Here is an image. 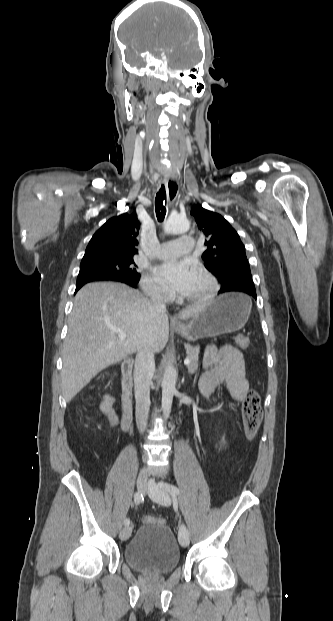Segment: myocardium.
I'll list each match as a JSON object with an SVG mask.
<instances>
[{
    "label": "myocardium",
    "instance_id": "myocardium-1",
    "mask_svg": "<svg viewBox=\"0 0 333 621\" xmlns=\"http://www.w3.org/2000/svg\"><path fill=\"white\" fill-rule=\"evenodd\" d=\"M195 271L198 272L200 275H202L207 280L209 284L208 291L201 295H197V296H191V297L181 296L179 297V300L184 301V302H189V303L208 302L212 300L219 291L218 281L216 277L213 275V273L209 271L207 268H205L204 266H201V265L196 266Z\"/></svg>",
    "mask_w": 333,
    "mask_h": 621
}]
</instances>
